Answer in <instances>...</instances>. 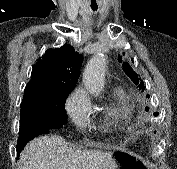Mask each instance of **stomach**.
I'll return each instance as SVG.
<instances>
[{"label": "stomach", "instance_id": "1", "mask_svg": "<svg viewBox=\"0 0 177 169\" xmlns=\"http://www.w3.org/2000/svg\"><path fill=\"white\" fill-rule=\"evenodd\" d=\"M114 157L119 162V169H148L146 164L134 154L117 153Z\"/></svg>", "mask_w": 177, "mask_h": 169}]
</instances>
